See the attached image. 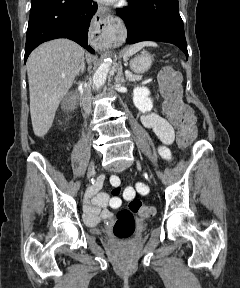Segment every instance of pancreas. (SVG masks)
Segmentation results:
<instances>
[{"mask_svg":"<svg viewBox=\"0 0 240 288\" xmlns=\"http://www.w3.org/2000/svg\"><path fill=\"white\" fill-rule=\"evenodd\" d=\"M126 79L129 80V81H135V80H139L140 77L137 76V75L129 74V75L126 76Z\"/></svg>","mask_w":240,"mask_h":288,"instance_id":"cf45deb5","label":"pancreas"}]
</instances>
